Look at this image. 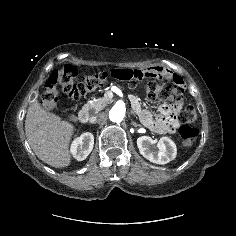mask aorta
<instances>
[{
    "label": "aorta",
    "instance_id": "obj_1",
    "mask_svg": "<svg viewBox=\"0 0 236 236\" xmlns=\"http://www.w3.org/2000/svg\"><path fill=\"white\" fill-rule=\"evenodd\" d=\"M125 117V107L119 104L114 105L109 111V119L114 123H120Z\"/></svg>",
    "mask_w": 236,
    "mask_h": 236
}]
</instances>
